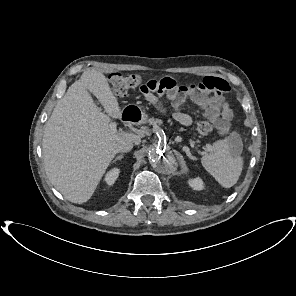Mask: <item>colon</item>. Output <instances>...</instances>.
Masks as SVG:
<instances>
[{"label": "colon", "instance_id": "1", "mask_svg": "<svg viewBox=\"0 0 296 296\" xmlns=\"http://www.w3.org/2000/svg\"><path fill=\"white\" fill-rule=\"evenodd\" d=\"M140 82V77L135 74L115 73L109 78L113 91L119 96L126 95L130 90L137 88ZM201 108L207 120H200L197 124V130L201 135H208L213 129L212 122L216 123L223 120V109L216 102H208Z\"/></svg>", "mask_w": 296, "mask_h": 296}]
</instances>
